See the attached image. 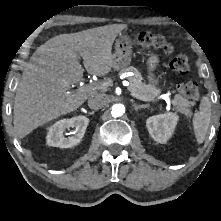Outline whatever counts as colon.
I'll list each match as a JSON object with an SVG mask.
<instances>
[{"label":"colon","instance_id":"colon-1","mask_svg":"<svg viewBox=\"0 0 221 221\" xmlns=\"http://www.w3.org/2000/svg\"><path fill=\"white\" fill-rule=\"evenodd\" d=\"M134 43L142 48H154L165 53L174 52V46L161 33L141 32L134 39ZM170 69L176 74H186L189 70L188 59L184 55L175 56L170 62ZM177 91L188 100L195 102L199 99L198 86L192 81H185L177 85Z\"/></svg>","mask_w":221,"mask_h":221}]
</instances>
